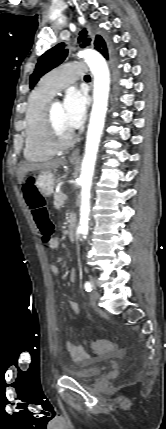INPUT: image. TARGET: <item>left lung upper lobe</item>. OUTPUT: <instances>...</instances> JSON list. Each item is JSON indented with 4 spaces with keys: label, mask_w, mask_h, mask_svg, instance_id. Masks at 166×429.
I'll return each mask as SVG.
<instances>
[{
    "label": "left lung upper lobe",
    "mask_w": 166,
    "mask_h": 429,
    "mask_svg": "<svg viewBox=\"0 0 166 429\" xmlns=\"http://www.w3.org/2000/svg\"><path fill=\"white\" fill-rule=\"evenodd\" d=\"M78 42H83L81 47H85L90 42V39L87 38L86 30H83L79 33ZM93 44L95 49L99 52L102 50V48L106 47L103 38L99 35L94 38ZM67 55L68 49H65L64 43H59L55 47L46 51L38 59L34 72L30 76V88H33L44 74L60 65L65 60Z\"/></svg>",
    "instance_id": "5c2ea615"
}]
</instances>
